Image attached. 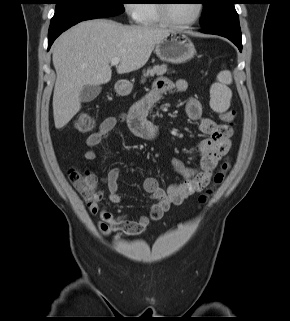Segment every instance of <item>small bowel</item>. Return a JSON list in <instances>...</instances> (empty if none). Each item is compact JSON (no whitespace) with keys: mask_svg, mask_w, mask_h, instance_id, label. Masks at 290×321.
Segmentation results:
<instances>
[{"mask_svg":"<svg viewBox=\"0 0 290 321\" xmlns=\"http://www.w3.org/2000/svg\"><path fill=\"white\" fill-rule=\"evenodd\" d=\"M187 87L188 84L184 79L172 82L167 78H158L154 83L153 89L140 98L128 113L121 117L111 116L105 118L98 129L87 137L86 144L89 150L85 153V159L87 161L95 159L94 148L109 136L119 121L125 122L134 136L145 140H154L158 136L159 129L156 124L149 120L148 111L169 91L175 89L178 92H185ZM185 114L189 119L198 123L199 130L202 133L209 136L198 145L200 154L199 167H186L179 159L174 158L172 164L176 172L183 177V181L171 184L166 189L159 185L156 178L147 177L144 181V190L151 195L155 203L150 207L146 215L137 219L114 216L107 208L99 205V200L88 204L91 214L99 215L100 217L97 226L103 235H109L118 229L141 233L151 222L162 218L172 205L181 204L188 197L203 190L208 184L214 167L229 150L233 130L228 124H220L204 117L201 103L195 98L187 100ZM120 173V169L114 167L108 171L106 176L101 178L102 182L107 186L108 199L114 204L122 202L117 182Z\"/></svg>","mask_w":290,"mask_h":321,"instance_id":"c3829d8e","label":"small bowel"}]
</instances>
